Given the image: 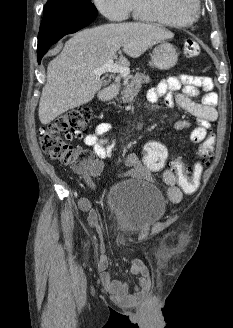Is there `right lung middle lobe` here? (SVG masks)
I'll return each mask as SVG.
<instances>
[{
	"mask_svg": "<svg viewBox=\"0 0 233 328\" xmlns=\"http://www.w3.org/2000/svg\"><path fill=\"white\" fill-rule=\"evenodd\" d=\"M47 10L97 12L90 0H48L44 6V11Z\"/></svg>",
	"mask_w": 233,
	"mask_h": 328,
	"instance_id": "obj_1",
	"label": "right lung middle lobe"
}]
</instances>
